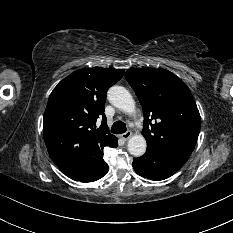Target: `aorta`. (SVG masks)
<instances>
[{
	"label": "aorta",
	"mask_w": 233,
	"mask_h": 233,
	"mask_svg": "<svg viewBox=\"0 0 233 233\" xmlns=\"http://www.w3.org/2000/svg\"><path fill=\"white\" fill-rule=\"evenodd\" d=\"M109 102L116 108L132 114L135 111V102L130 92L122 86H112L107 94ZM146 140L142 135H133L127 144L128 151L135 157L142 156L146 151Z\"/></svg>",
	"instance_id": "1"
}]
</instances>
